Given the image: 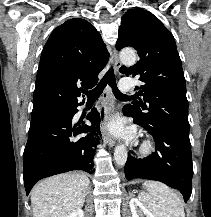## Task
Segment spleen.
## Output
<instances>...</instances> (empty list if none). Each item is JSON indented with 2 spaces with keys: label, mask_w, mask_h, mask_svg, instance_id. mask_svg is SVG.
Wrapping results in <instances>:
<instances>
[{
  "label": "spleen",
  "mask_w": 211,
  "mask_h": 217,
  "mask_svg": "<svg viewBox=\"0 0 211 217\" xmlns=\"http://www.w3.org/2000/svg\"><path fill=\"white\" fill-rule=\"evenodd\" d=\"M146 192L139 194L140 200L155 217H185L183 204L177 194L159 181L143 183Z\"/></svg>",
  "instance_id": "3e777b00"
}]
</instances>
